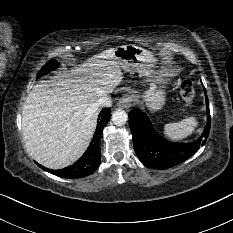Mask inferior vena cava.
I'll list each match as a JSON object with an SVG mask.
<instances>
[{"mask_svg": "<svg viewBox=\"0 0 233 233\" xmlns=\"http://www.w3.org/2000/svg\"><path fill=\"white\" fill-rule=\"evenodd\" d=\"M112 105V100L110 96H103L101 98H99L96 103H95V107H101V108H105V107H111Z\"/></svg>", "mask_w": 233, "mask_h": 233, "instance_id": "602c4592", "label": "inferior vena cava"}]
</instances>
